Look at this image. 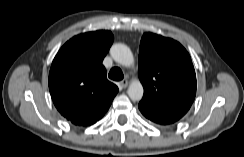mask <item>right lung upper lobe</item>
Masks as SVG:
<instances>
[{"label": "right lung upper lobe", "mask_w": 244, "mask_h": 157, "mask_svg": "<svg viewBox=\"0 0 244 157\" xmlns=\"http://www.w3.org/2000/svg\"><path fill=\"white\" fill-rule=\"evenodd\" d=\"M113 39L110 31L80 34L66 42L52 62V100L61 115L75 125L89 126L102 118L118 92L102 65Z\"/></svg>", "instance_id": "cb5924a9"}]
</instances>
